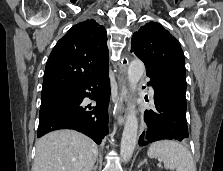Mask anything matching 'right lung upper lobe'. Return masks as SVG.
Segmentation results:
<instances>
[{
  "label": "right lung upper lobe",
  "instance_id": "1",
  "mask_svg": "<svg viewBox=\"0 0 223 171\" xmlns=\"http://www.w3.org/2000/svg\"><path fill=\"white\" fill-rule=\"evenodd\" d=\"M109 52L104 26L80 22L53 48L45 68L42 96L86 84L107 70Z\"/></svg>",
  "mask_w": 223,
  "mask_h": 171
}]
</instances>
